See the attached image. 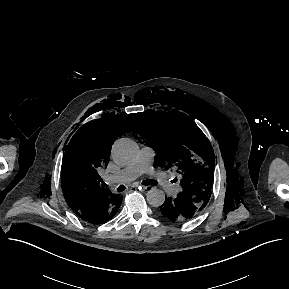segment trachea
<instances>
[{"label": "trachea", "mask_w": 289, "mask_h": 289, "mask_svg": "<svg viewBox=\"0 0 289 289\" xmlns=\"http://www.w3.org/2000/svg\"><path fill=\"white\" fill-rule=\"evenodd\" d=\"M142 184H143V185H152V186H155V185H157V181L152 180V179H147V180H144V181L142 182ZM124 190H125V186H123V185H120V186L117 188V191H118V192H122V191H124Z\"/></svg>", "instance_id": "3493384b"}]
</instances>
